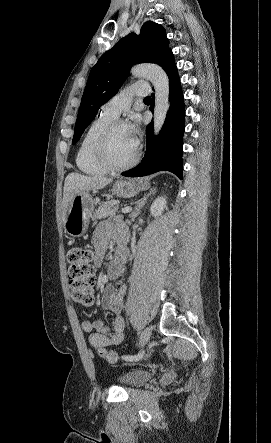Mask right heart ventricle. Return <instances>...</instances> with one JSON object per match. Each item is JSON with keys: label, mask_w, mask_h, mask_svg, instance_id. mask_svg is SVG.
<instances>
[{"label": "right heart ventricle", "mask_w": 271, "mask_h": 443, "mask_svg": "<svg viewBox=\"0 0 271 443\" xmlns=\"http://www.w3.org/2000/svg\"><path fill=\"white\" fill-rule=\"evenodd\" d=\"M113 119L115 117L100 114L90 122L85 130L75 155V164L82 173L99 176L108 171L96 155V144L104 128Z\"/></svg>", "instance_id": "right-heart-ventricle-1"}]
</instances>
